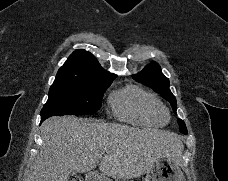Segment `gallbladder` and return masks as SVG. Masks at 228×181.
I'll return each mask as SVG.
<instances>
[{"mask_svg":"<svg viewBox=\"0 0 228 181\" xmlns=\"http://www.w3.org/2000/svg\"><path fill=\"white\" fill-rule=\"evenodd\" d=\"M75 173H77V171H71V175H75Z\"/></svg>","mask_w":228,"mask_h":181,"instance_id":"bac80fb5","label":"gallbladder"}]
</instances>
